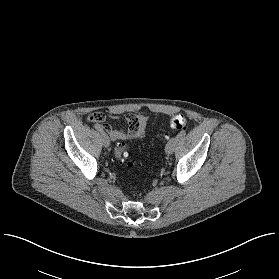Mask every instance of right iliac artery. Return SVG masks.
Returning <instances> with one entry per match:
<instances>
[{
    "instance_id": "obj_1",
    "label": "right iliac artery",
    "mask_w": 279,
    "mask_h": 279,
    "mask_svg": "<svg viewBox=\"0 0 279 279\" xmlns=\"http://www.w3.org/2000/svg\"><path fill=\"white\" fill-rule=\"evenodd\" d=\"M94 128L96 129V130H98L100 133H105L104 131H103V129L101 128V126H100V124H95L94 125Z\"/></svg>"
}]
</instances>
